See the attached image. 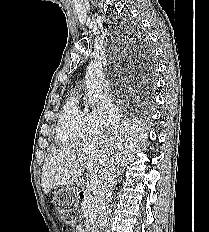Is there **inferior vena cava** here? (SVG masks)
Here are the masks:
<instances>
[{"mask_svg":"<svg viewBox=\"0 0 209 232\" xmlns=\"http://www.w3.org/2000/svg\"><path fill=\"white\" fill-rule=\"evenodd\" d=\"M115 164L112 163L107 171L102 176L100 181V186L98 189V226L105 232L107 231L108 213H109V203L112 197L113 187L116 178V168Z\"/></svg>","mask_w":209,"mask_h":232,"instance_id":"obj_1","label":"inferior vena cava"}]
</instances>
